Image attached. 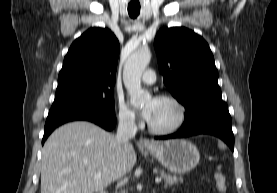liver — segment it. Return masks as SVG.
<instances>
[{
	"label": "liver",
	"mask_w": 277,
	"mask_h": 193,
	"mask_svg": "<svg viewBox=\"0 0 277 193\" xmlns=\"http://www.w3.org/2000/svg\"><path fill=\"white\" fill-rule=\"evenodd\" d=\"M137 155L131 143L90 122L56 129L42 151L41 193H96L131 171Z\"/></svg>",
	"instance_id": "1"
}]
</instances>
